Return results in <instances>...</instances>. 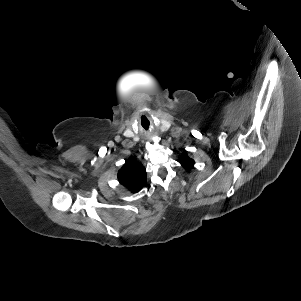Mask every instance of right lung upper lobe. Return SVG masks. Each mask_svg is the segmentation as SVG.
Masks as SVG:
<instances>
[{
    "label": "right lung upper lobe",
    "mask_w": 301,
    "mask_h": 301,
    "mask_svg": "<svg viewBox=\"0 0 301 301\" xmlns=\"http://www.w3.org/2000/svg\"><path fill=\"white\" fill-rule=\"evenodd\" d=\"M120 184L125 186L131 192L136 193L146 183V171L144 166L136 161H126L118 172Z\"/></svg>",
    "instance_id": "cb5924a9"
}]
</instances>
